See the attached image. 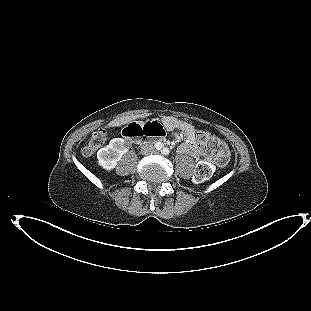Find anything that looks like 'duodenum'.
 <instances>
[{"label":"duodenum","instance_id":"duodenum-1","mask_svg":"<svg viewBox=\"0 0 311 311\" xmlns=\"http://www.w3.org/2000/svg\"><path fill=\"white\" fill-rule=\"evenodd\" d=\"M125 136H127V138L136 143L139 144L142 142L143 138H147V139H153V138H157L158 136L155 135L152 130L147 129L146 132L143 129H133L130 130L128 134H125Z\"/></svg>","mask_w":311,"mask_h":311}]
</instances>
